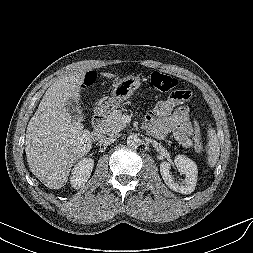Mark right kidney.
I'll return each mask as SVG.
<instances>
[{"mask_svg":"<svg viewBox=\"0 0 253 253\" xmlns=\"http://www.w3.org/2000/svg\"><path fill=\"white\" fill-rule=\"evenodd\" d=\"M93 166L94 161L91 158H84L74 166L70 177L73 188L79 189L86 184L91 175Z\"/></svg>","mask_w":253,"mask_h":253,"instance_id":"ca27d5eb","label":"right kidney"}]
</instances>
